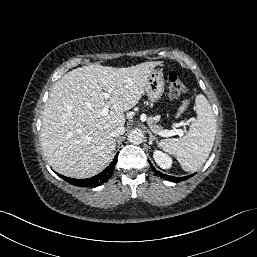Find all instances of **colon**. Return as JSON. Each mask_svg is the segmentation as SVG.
I'll use <instances>...</instances> for the list:
<instances>
[{"mask_svg":"<svg viewBox=\"0 0 257 257\" xmlns=\"http://www.w3.org/2000/svg\"><path fill=\"white\" fill-rule=\"evenodd\" d=\"M167 81H168V91L171 97L179 98L186 93L187 91L186 85L180 79L176 71L169 72ZM188 105H189L188 100L182 101V103L178 108L177 115L178 116L183 115L186 112Z\"/></svg>","mask_w":257,"mask_h":257,"instance_id":"obj_1","label":"colon"}]
</instances>
